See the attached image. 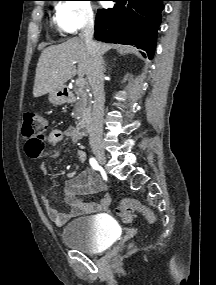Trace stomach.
Wrapping results in <instances>:
<instances>
[{
    "label": "stomach",
    "instance_id": "stomach-1",
    "mask_svg": "<svg viewBox=\"0 0 216 285\" xmlns=\"http://www.w3.org/2000/svg\"><path fill=\"white\" fill-rule=\"evenodd\" d=\"M67 99L68 97H67L66 89L64 87L56 89L49 93V101L53 105H61L65 103Z\"/></svg>",
    "mask_w": 216,
    "mask_h": 285
}]
</instances>
